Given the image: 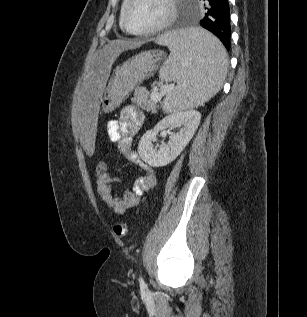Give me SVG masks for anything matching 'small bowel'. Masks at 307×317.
<instances>
[{
  "label": "small bowel",
  "instance_id": "obj_1",
  "mask_svg": "<svg viewBox=\"0 0 307 317\" xmlns=\"http://www.w3.org/2000/svg\"><path fill=\"white\" fill-rule=\"evenodd\" d=\"M144 114L133 105L122 108L118 119L107 124V133L110 140L117 144L119 151L126 158L141 168L143 174L136 177L130 189L121 195L115 193V185L119 179L106 172L97 179V192L106 205L117 215L124 214L127 210L136 207L142 195L153 188L157 182L154 168L144 163L138 154L132 151V138L143 124Z\"/></svg>",
  "mask_w": 307,
  "mask_h": 317
}]
</instances>
